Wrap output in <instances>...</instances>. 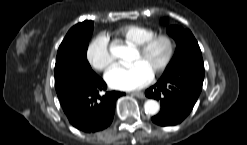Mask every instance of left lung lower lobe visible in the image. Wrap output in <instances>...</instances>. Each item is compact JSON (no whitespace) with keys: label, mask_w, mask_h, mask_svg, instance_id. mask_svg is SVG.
Wrapping results in <instances>:
<instances>
[{"label":"left lung lower lobe","mask_w":247,"mask_h":145,"mask_svg":"<svg viewBox=\"0 0 247 145\" xmlns=\"http://www.w3.org/2000/svg\"><path fill=\"white\" fill-rule=\"evenodd\" d=\"M204 67L184 66L164 73L145 91L148 98L159 100L161 110L152 121L161 126L181 123L193 109L202 89Z\"/></svg>","instance_id":"left-lung-lower-lobe-1"}]
</instances>
